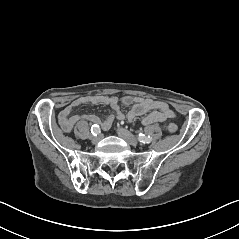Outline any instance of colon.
I'll return each mask as SVG.
<instances>
[{
    "instance_id": "1",
    "label": "colon",
    "mask_w": 239,
    "mask_h": 239,
    "mask_svg": "<svg viewBox=\"0 0 239 239\" xmlns=\"http://www.w3.org/2000/svg\"><path fill=\"white\" fill-rule=\"evenodd\" d=\"M167 129H168V131L171 132V133L176 132V129H177L176 124L170 123V124L168 125Z\"/></svg>"
}]
</instances>
